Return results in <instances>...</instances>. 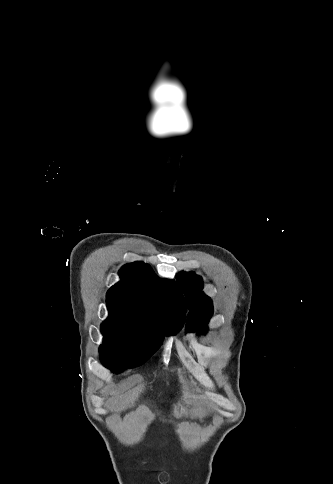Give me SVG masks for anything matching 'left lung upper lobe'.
Segmentation results:
<instances>
[{"label": "left lung upper lobe", "instance_id": "5c2ea615", "mask_svg": "<svg viewBox=\"0 0 333 484\" xmlns=\"http://www.w3.org/2000/svg\"><path fill=\"white\" fill-rule=\"evenodd\" d=\"M177 280L184 290L189 310L188 331L201 333L206 330L209 319L213 314L210 297L202 292L203 281L194 272H180Z\"/></svg>", "mask_w": 333, "mask_h": 484}]
</instances>
